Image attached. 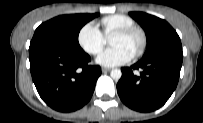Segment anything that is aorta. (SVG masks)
<instances>
[{"label":"aorta","instance_id":"762f6f07","mask_svg":"<svg viewBox=\"0 0 203 123\" xmlns=\"http://www.w3.org/2000/svg\"><path fill=\"white\" fill-rule=\"evenodd\" d=\"M110 76L114 79V80H119L122 76V72L120 69H113L110 73Z\"/></svg>","mask_w":203,"mask_h":123}]
</instances>
